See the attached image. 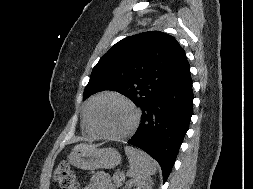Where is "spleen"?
I'll return each instance as SVG.
<instances>
[{
    "label": "spleen",
    "mask_w": 253,
    "mask_h": 189,
    "mask_svg": "<svg viewBox=\"0 0 253 189\" xmlns=\"http://www.w3.org/2000/svg\"><path fill=\"white\" fill-rule=\"evenodd\" d=\"M130 168L127 176L133 179H145L156 173L157 163L146 152L132 146L125 147Z\"/></svg>",
    "instance_id": "spleen-1"
}]
</instances>
